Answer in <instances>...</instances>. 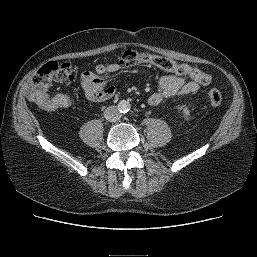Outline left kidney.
Returning a JSON list of instances; mask_svg holds the SVG:
<instances>
[{
  "mask_svg": "<svg viewBox=\"0 0 257 257\" xmlns=\"http://www.w3.org/2000/svg\"><path fill=\"white\" fill-rule=\"evenodd\" d=\"M181 110H183V114L187 117L190 115L189 110L185 109L183 106L180 107Z\"/></svg>",
  "mask_w": 257,
  "mask_h": 257,
  "instance_id": "obj_1",
  "label": "left kidney"
}]
</instances>
